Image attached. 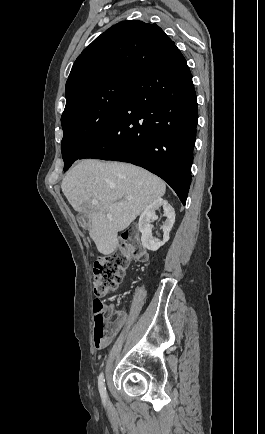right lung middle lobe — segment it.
I'll return each instance as SVG.
<instances>
[{
    "mask_svg": "<svg viewBox=\"0 0 265 434\" xmlns=\"http://www.w3.org/2000/svg\"><path fill=\"white\" fill-rule=\"evenodd\" d=\"M136 76L112 75L66 91L61 116L64 170L87 151L117 117Z\"/></svg>",
    "mask_w": 265,
    "mask_h": 434,
    "instance_id": "dd1d6c3e",
    "label": "right lung middle lobe"
}]
</instances>
